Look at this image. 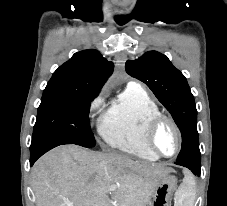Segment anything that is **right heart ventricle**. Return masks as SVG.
Instances as JSON below:
<instances>
[{"instance_id":"1","label":"right heart ventricle","mask_w":227,"mask_h":206,"mask_svg":"<svg viewBox=\"0 0 227 206\" xmlns=\"http://www.w3.org/2000/svg\"><path fill=\"white\" fill-rule=\"evenodd\" d=\"M160 113L157 103L142 88L127 87L106 109L99 134L112 148L137 158L156 161L144 142L147 121Z\"/></svg>"}]
</instances>
